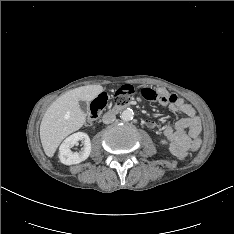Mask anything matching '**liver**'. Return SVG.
Instances as JSON below:
<instances>
[{
  "label": "liver",
  "mask_w": 234,
  "mask_h": 234,
  "mask_svg": "<svg viewBox=\"0 0 234 234\" xmlns=\"http://www.w3.org/2000/svg\"><path fill=\"white\" fill-rule=\"evenodd\" d=\"M102 91L101 85L78 87L63 94L48 107L40 125V139L48 157L54 155L65 137L84 125L86 115L79 101L90 102Z\"/></svg>",
  "instance_id": "1"
}]
</instances>
